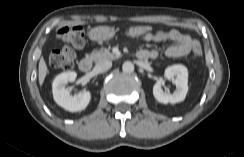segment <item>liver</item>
I'll use <instances>...</instances> for the list:
<instances>
[{
  "instance_id": "obj_1",
  "label": "liver",
  "mask_w": 244,
  "mask_h": 157,
  "mask_svg": "<svg viewBox=\"0 0 244 157\" xmlns=\"http://www.w3.org/2000/svg\"><path fill=\"white\" fill-rule=\"evenodd\" d=\"M48 73V68L43 57L40 58L38 66V79L40 86L43 84L45 77Z\"/></svg>"
}]
</instances>
